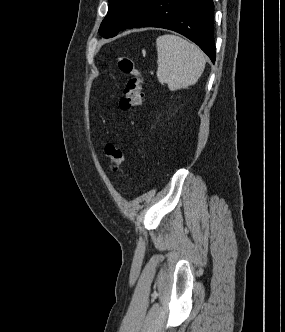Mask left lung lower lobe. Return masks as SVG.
I'll return each mask as SVG.
<instances>
[{"label": "left lung lower lobe", "mask_w": 285, "mask_h": 332, "mask_svg": "<svg viewBox=\"0 0 285 332\" xmlns=\"http://www.w3.org/2000/svg\"><path fill=\"white\" fill-rule=\"evenodd\" d=\"M212 0H153L127 28L159 27L196 43L215 62Z\"/></svg>", "instance_id": "left-lung-lower-lobe-1"}]
</instances>
